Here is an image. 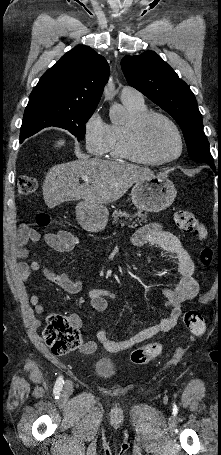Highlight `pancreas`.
Masks as SVG:
<instances>
[{"label": "pancreas", "instance_id": "cf45deb5", "mask_svg": "<svg viewBox=\"0 0 221 455\" xmlns=\"http://www.w3.org/2000/svg\"><path fill=\"white\" fill-rule=\"evenodd\" d=\"M112 217L114 218V220L117 222L120 218H124V220H127L128 221V224H129V227H136L137 226V222H141V221H146L147 219V214H142L141 212H138L136 213L135 215H132L131 213H128L126 211H121V210H115L114 213L112 214ZM134 217H137L136 219V222L133 221V218ZM140 218V220H139ZM124 220H121V225L124 226V224L126 223V221Z\"/></svg>", "mask_w": 221, "mask_h": 455}]
</instances>
